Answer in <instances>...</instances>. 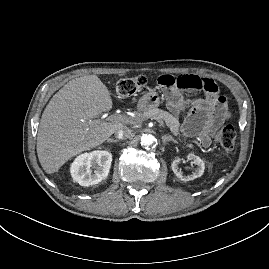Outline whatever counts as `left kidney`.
Wrapping results in <instances>:
<instances>
[{
    "label": "left kidney",
    "mask_w": 269,
    "mask_h": 269,
    "mask_svg": "<svg viewBox=\"0 0 269 269\" xmlns=\"http://www.w3.org/2000/svg\"><path fill=\"white\" fill-rule=\"evenodd\" d=\"M187 159L191 160L196 165V170L191 175L184 176L179 170L178 165L180 163V159H174L171 163V168L174 174L182 181H190L194 180L198 177H201L204 173L205 169V163L204 161L199 157L196 156L193 153H190L187 155Z\"/></svg>",
    "instance_id": "5707ae66"
}]
</instances>
